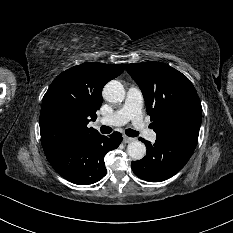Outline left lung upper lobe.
Returning a JSON list of instances; mask_svg holds the SVG:
<instances>
[{"instance_id":"left-lung-upper-lobe-1","label":"left lung upper lobe","mask_w":233,"mask_h":233,"mask_svg":"<svg viewBox=\"0 0 233 233\" xmlns=\"http://www.w3.org/2000/svg\"><path fill=\"white\" fill-rule=\"evenodd\" d=\"M126 69L142 90L157 138L197 141L202 108L189 79L160 62L129 64Z\"/></svg>"}]
</instances>
